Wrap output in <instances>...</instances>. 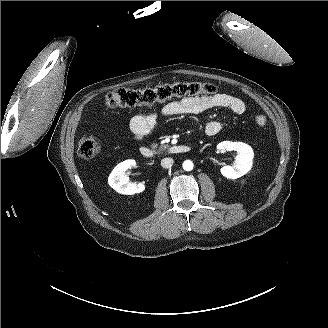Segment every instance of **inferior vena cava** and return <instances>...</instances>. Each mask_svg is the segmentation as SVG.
<instances>
[{
    "label": "inferior vena cava",
    "mask_w": 328,
    "mask_h": 328,
    "mask_svg": "<svg viewBox=\"0 0 328 328\" xmlns=\"http://www.w3.org/2000/svg\"><path fill=\"white\" fill-rule=\"evenodd\" d=\"M174 163V160L172 158H163L161 160V166L163 168H171Z\"/></svg>",
    "instance_id": "inferior-vena-cava-1"
}]
</instances>
